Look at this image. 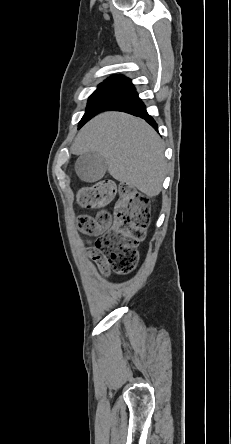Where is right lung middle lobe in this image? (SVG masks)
Segmentation results:
<instances>
[{"label": "right lung middle lobe", "mask_w": 231, "mask_h": 444, "mask_svg": "<svg viewBox=\"0 0 231 444\" xmlns=\"http://www.w3.org/2000/svg\"><path fill=\"white\" fill-rule=\"evenodd\" d=\"M126 95H128V93L120 88L111 86L98 87L89 97L87 109L79 123V128L96 114L107 110Z\"/></svg>", "instance_id": "dd1d6c3e"}]
</instances>
